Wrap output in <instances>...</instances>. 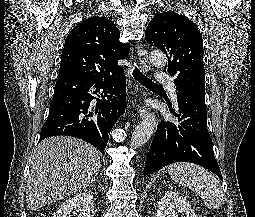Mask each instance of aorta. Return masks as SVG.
Segmentation results:
<instances>
[{"mask_svg": "<svg viewBox=\"0 0 255 217\" xmlns=\"http://www.w3.org/2000/svg\"><path fill=\"white\" fill-rule=\"evenodd\" d=\"M150 61L156 67H163L167 63L165 54L159 50H154L149 54ZM155 129L153 120L142 121L133 131L131 137V146L138 148L143 146L152 136Z\"/></svg>", "mask_w": 255, "mask_h": 217, "instance_id": "aorta-1", "label": "aorta"}]
</instances>
